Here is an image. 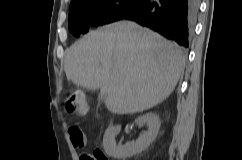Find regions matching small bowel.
<instances>
[{
  "instance_id": "c3829d8e",
  "label": "small bowel",
  "mask_w": 242,
  "mask_h": 160,
  "mask_svg": "<svg viewBox=\"0 0 242 160\" xmlns=\"http://www.w3.org/2000/svg\"><path fill=\"white\" fill-rule=\"evenodd\" d=\"M80 115H85L86 113H79ZM85 156V154H81L80 155V160H83V157Z\"/></svg>"
}]
</instances>
